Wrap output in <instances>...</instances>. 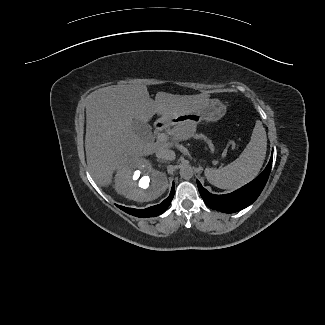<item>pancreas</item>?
Instances as JSON below:
<instances>
[{"label":"pancreas","mask_w":325,"mask_h":325,"mask_svg":"<svg viewBox=\"0 0 325 325\" xmlns=\"http://www.w3.org/2000/svg\"><path fill=\"white\" fill-rule=\"evenodd\" d=\"M199 137L202 139H206V137H204L203 135H199Z\"/></svg>","instance_id":"pancreas-1"}]
</instances>
